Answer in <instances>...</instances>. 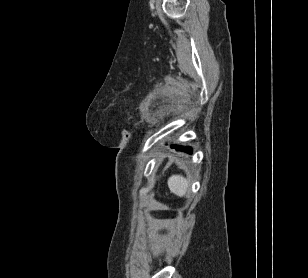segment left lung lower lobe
Segmentation results:
<instances>
[{"label": "left lung lower lobe", "instance_id": "0a47b994", "mask_svg": "<svg viewBox=\"0 0 308 278\" xmlns=\"http://www.w3.org/2000/svg\"><path fill=\"white\" fill-rule=\"evenodd\" d=\"M176 150H181V151H184L186 153H192V150L190 147H181V146H175L174 147Z\"/></svg>", "mask_w": 308, "mask_h": 278}]
</instances>
